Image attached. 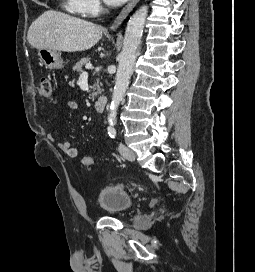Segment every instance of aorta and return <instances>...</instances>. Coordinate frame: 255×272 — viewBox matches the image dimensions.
<instances>
[{"label":"aorta","mask_w":255,"mask_h":272,"mask_svg":"<svg viewBox=\"0 0 255 272\" xmlns=\"http://www.w3.org/2000/svg\"><path fill=\"white\" fill-rule=\"evenodd\" d=\"M147 13L148 7L144 5L137 10L128 21L124 36V46L119 55L115 86L107 118L109 127L114 126L116 123L117 109L125 95L131 74L133 72Z\"/></svg>","instance_id":"1"}]
</instances>
